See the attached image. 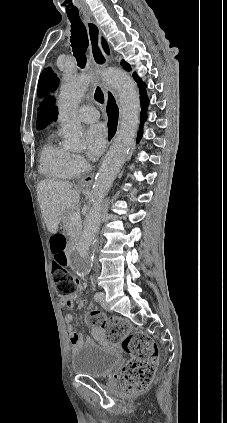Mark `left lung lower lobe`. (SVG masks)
Segmentation results:
<instances>
[{
  "label": "left lung lower lobe",
  "mask_w": 227,
  "mask_h": 423,
  "mask_svg": "<svg viewBox=\"0 0 227 423\" xmlns=\"http://www.w3.org/2000/svg\"><path fill=\"white\" fill-rule=\"evenodd\" d=\"M138 87H139V94H140V102H141V124L139 127V131H138V138H137V142H139L140 138H141V134H142V127H143V123L146 120V115L145 112L147 110L148 107V98H147V94H146V85L142 82L141 79L136 80Z\"/></svg>",
  "instance_id": "obj_1"
}]
</instances>
